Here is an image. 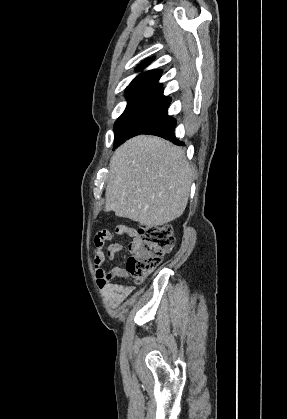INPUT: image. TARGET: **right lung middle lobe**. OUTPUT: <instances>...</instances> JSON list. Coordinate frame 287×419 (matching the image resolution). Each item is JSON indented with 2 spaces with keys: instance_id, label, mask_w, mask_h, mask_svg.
Returning <instances> with one entry per match:
<instances>
[{
  "instance_id": "1",
  "label": "right lung middle lobe",
  "mask_w": 287,
  "mask_h": 419,
  "mask_svg": "<svg viewBox=\"0 0 287 419\" xmlns=\"http://www.w3.org/2000/svg\"><path fill=\"white\" fill-rule=\"evenodd\" d=\"M168 106L126 109L114 124V148L167 114Z\"/></svg>"
}]
</instances>
